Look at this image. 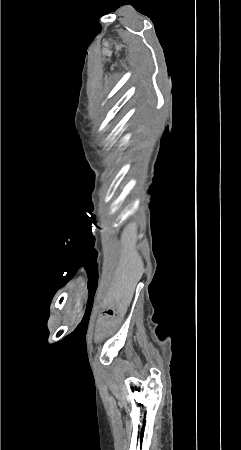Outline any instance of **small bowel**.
I'll use <instances>...</instances> for the list:
<instances>
[{"label":"small bowel","instance_id":"1","mask_svg":"<svg viewBox=\"0 0 241 450\" xmlns=\"http://www.w3.org/2000/svg\"><path fill=\"white\" fill-rule=\"evenodd\" d=\"M101 310H96V319H126V302L123 300L104 301ZM100 329L96 332L100 335H110L111 329H115L119 326V323L115 320H101L97 324Z\"/></svg>","mask_w":241,"mask_h":450}]
</instances>
